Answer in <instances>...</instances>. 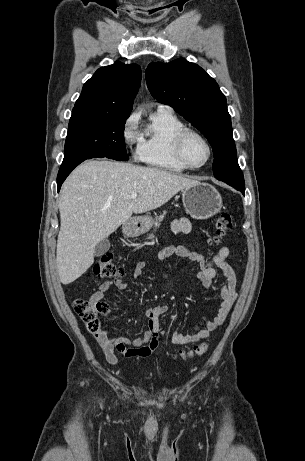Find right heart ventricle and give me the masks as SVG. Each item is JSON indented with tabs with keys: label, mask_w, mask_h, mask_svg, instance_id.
I'll use <instances>...</instances> for the list:
<instances>
[{
	"label": "right heart ventricle",
	"mask_w": 305,
	"mask_h": 461,
	"mask_svg": "<svg viewBox=\"0 0 305 461\" xmlns=\"http://www.w3.org/2000/svg\"><path fill=\"white\" fill-rule=\"evenodd\" d=\"M185 127L170 110H157L148 125L138 134V159L155 168L170 172L186 170L174 153V138Z\"/></svg>",
	"instance_id": "right-heart-ventricle-1"
}]
</instances>
